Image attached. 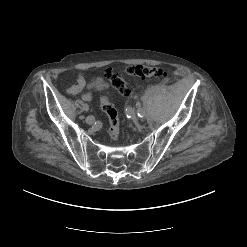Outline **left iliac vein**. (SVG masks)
<instances>
[{"instance_id":"4c4485c4","label":"left iliac vein","mask_w":247,"mask_h":247,"mask_svg":"<svg viewBox=\"0 0 247 247\" xmlns=\"http://www.w3.org/2000/svg\"><path fill=\"white\" fill-rule=\"evenodd\" d=\"M131 118L134 122L137 120V115L135 112H131Z\"/></svg>"}]
</instances>
